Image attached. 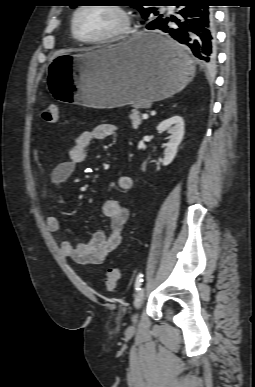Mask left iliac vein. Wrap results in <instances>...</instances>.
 <instances>
[{
    "instance_id": "4c4485c4",
    "label": "left iliac vein",
    "mask_w": 255,
    "mask_h": 387,
    "mask_svg": "<svg viewBox=\"0 0 255 387\" xmlns=\"http://www.w3.org/2000/svg\"><path fill=\"white\" fill-rule=\"evenodd\" d=\"M144 298H145V289L144 288H141L136 296H135V299H134V307L136 308V310H139L140 307L142 306L143 304V301H144ZM137 318H138V314H134L133 317H132V320L133 322H136L137 321Z\"/></svg>"
}]
</instances>
